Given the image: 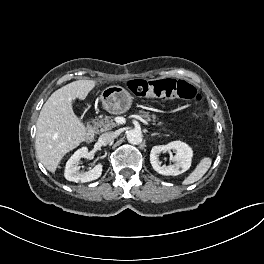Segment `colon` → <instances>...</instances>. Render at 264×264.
<instances>
[{"mask_svg":"<svg viewBox=\"0 0 264 264\" xmlns=\"http://www.w3.org/2000/svg\"><path fill=\"white\" fill-rule=\"evenodd\" d=\"M130 90L137 96L146 98H160L161 100L195 99L201 100L195 88L186 81L164 79L158 81L132 80Z\"/></svg>","mask_w":264,"mask_h":264,"instance_id":"obj_1","label":"colon"}]
</instances>
